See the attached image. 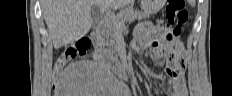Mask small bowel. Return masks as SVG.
Here are the masks:
<instances>
[{"label": "small bowel", "mask_w": 232, "mask_h": 96, "mask_svg": "<svg viewBox=\"0 0 232 96\" xmlns=\"http://www.w3.org/2000/svg\"><path fill=\"white\" fill-rule=\"evenodd\" d=\"M158 20H165V15H158ZM161 30L163 27L159 25L157 27ZM155 29V26L151 22H141L135 28L134 31V40L133 45H149L153 42H157L158 40L155 38V34H157L160 39L165 32L162 30L161 32ZM175 46L177 49V53L174 58V62L172 66L166 70L169 78L168 84L172 87V95L173 96H186V84L185 78L182 74V67L185 65V56L183 54V47L180 41L175 42ZM158 57L161 56L160 53L157 54Z\"/></svg>", "instance_id": "small-bowel-1"}]
</instances>
